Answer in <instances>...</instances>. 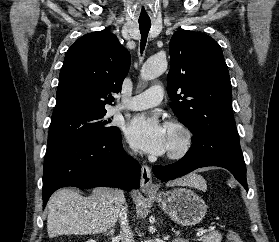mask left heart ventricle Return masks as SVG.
Masks as SVG:
<instances>
[{
	"label": "left heart ventricle",
	"mask_w": 279,
	"mask_h": 242,
	"mask_svg": "<svg viewBox=\"0 0 279 242\" xmlns=\"http://www.w3.org/2000/svg\"><path fill=\"white\" fill-rule=\"evenodd\" d=\"M179 144V135L176 131L168 127V150L176 148Z\"/></svg>",
	"instance_id": "obj_1"
}]
</instances>
